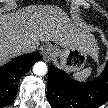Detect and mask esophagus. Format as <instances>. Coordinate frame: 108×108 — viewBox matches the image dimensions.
<instances>
[{"label": "esophagus", "instance_id": "1", "mask_svg": "<svg viewBox=\"0 0 108 108\" xmlns=\"http://www.w3.org/2000/svg\"><path fill=\"white\" fill-rule=\"evenodd\" d=\"M55 55V48L46 46L42 49V56L45 61L51 60Z\"/></svg>", "mask_w": 108, "mask_h": 108}]
</instances>
